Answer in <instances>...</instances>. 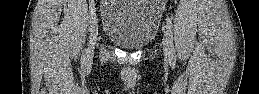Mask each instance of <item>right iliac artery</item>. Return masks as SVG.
<instances>
[{
  "instance_id": "obj_1",
  "label": "right iliac artery",
  "mask_w": 259,
  "mask_h": 94,
  "mask_svg": "<svg viewBox=\"0 0 259 94\" xmlns=\"http://www.w3.org/2000/svg\"><path fill=\"white\" fill-rule=\"evenodd\" d=\"M95 17H96L95 7H94V5L91 2V5H90V16H89V18H90V20H89V25H90L89 26V30H91V28H92V26H93V24L95 22ZM81 62H82L83 65H85L87 63V50H85L83 52Z\"/></svg>"
}]
</instances>
